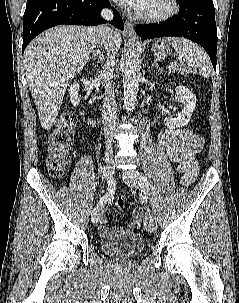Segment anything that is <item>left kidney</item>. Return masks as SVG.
Segmentation results:
<instances>
[{
    "instance_id": "obj_1",
    "label": "left kidney",
    "mask_w": 239,
    "mask_h": 303,
    "mask_svg": "<svg viewBox=\"0 0 239 303\" xmlns=\"http://www.w3.org/2000/svg\"><path fill=\"white\" fill-rule=\"evenodd\" d=\"M175 98L180 103H182L183 108L181 112L178 113V116L176 118L165 117L164 124L169 129L180 128L187 125L191 120L197 101L196 95L193 94L188 88L181 85L176 87Z\"/></svg>"
}]
</instances>
